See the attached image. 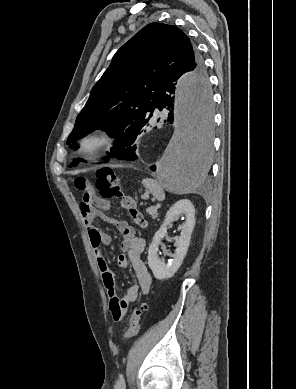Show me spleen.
Returning <instances> with one entry per match:
<instances>
[{
    "instance_id": "obj_1",
    "label": "spleen",
    "mask_w": 296,
    "mask_h": 389,
    "mask_svg": "<svg viewBox=\"0 0 296 389\" xmlns=\"http://www.w3.org/2000/svg\"><path fill=\"white\" fill-rule=\"evenodd\" d=\"M196 179L192 180V183L195 182ZM142 185L158 200L163 201L165 199V192L160 183L154 179H143Z\"/></svg>"
}]
</instances>
